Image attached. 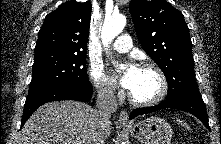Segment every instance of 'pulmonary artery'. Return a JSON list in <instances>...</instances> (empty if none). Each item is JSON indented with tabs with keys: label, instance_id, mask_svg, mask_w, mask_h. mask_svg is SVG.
Instances as JSON below:
<instances>
[{
	"label": "pulmonary artery",
	"instance_id": "e3ab8cb5",
	"mask_svg": "<svg viewBox=\"0 0 221 144\" xmlns=\"http://www.w3.org/2000/svg\"><path fill=\"white\" fill-rule=\"evenodd\" d=\"M113 49L120 53L128 52L132 47V41L128 34L120 35L112 45Z\"/></svg>",
	"mask_w": 221,
	"mask_h": 144
}]
</instances>
